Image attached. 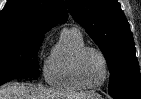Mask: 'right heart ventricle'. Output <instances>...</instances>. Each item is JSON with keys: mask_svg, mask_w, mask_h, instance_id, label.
Returning a JSON list of instances; mask_svg holds the SVG:
<instances>
[{"mask_svg": "<svg viewBox=\"0 0 141 99\" xmlns=\"http://www.w3.org/2000/svg\"><path fill=\"white\" fill-rule=\"evenodd\" d=\"M85 46L80 32L63 30L56 45L44 63L46 82L60 90L81 91L83 87L74 73V59L77 52Z\"/></svg>", "mask_w": 141, "mask_h": 99, "instance_id": "right-heart-ventricle-1", "label": "right heart ventricle"}]
</instances>
